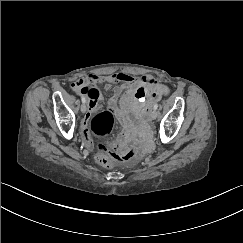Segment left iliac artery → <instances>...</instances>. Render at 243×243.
<instances>
[{
  "mask_svg": "<svg viewBox=\"0 0 243 243\" xmlns=\"http://www.w3.org/2000/svg\"><path fill=\"white\" fill-rule=\"evenodd\" d=\"M157 108H158V104H155L154 107H153V109L154 110H157Z\"/></svg>",
  "mask_w": 243,
  "mask_h": 243,
  "instance_id": "44dca946",
  "label": "left iliac artery"
}]
</instances>
